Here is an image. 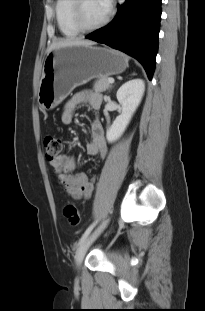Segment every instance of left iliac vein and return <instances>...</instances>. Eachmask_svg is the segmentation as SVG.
Masks as SVG:
<instances>
[{
  "label": "left iliac vein",
  "mask_w": 205,
  "mask_h": 311,
  "mask_svg": "<svg viewBox=\"0 0 205 311\" xmlns=\"http://www.w3.org/2000/svg\"><path fill=\"white\" fill-rule=\"evenodd\" d=\"M106 225H107V221H104L101 225H99L90 235H88L82 241L75 255V262L77 266L81 265L88 248L94 242V240L103 232Z\"/></svg>",
  "instance_id": "1"
}]
</instances>
